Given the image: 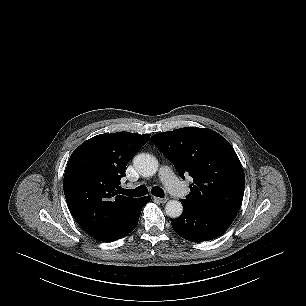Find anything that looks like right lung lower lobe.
I'll return each instance as SVG.
<instances>
[{
    "mask_svg": "<svg viewBox=\"0 0 306 306\" xmlns=\"http://www.w3.org/2000/svg\"><path fill=\"white\" fill-rule=\"evenodd\" d=\"M151 197L146 196L137 199L121 223L110 233L102 237L101 241L111 242L123 238L135 229L143 206L150 201Z\"/></svg>",
    "mask_w": 306,
    "mask_h": 306,
    "instance_id": "98d812e1",
    "label": "right lung lower lobe"
}]
</instances>
